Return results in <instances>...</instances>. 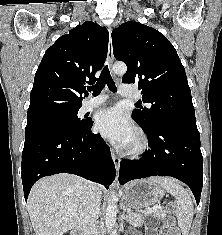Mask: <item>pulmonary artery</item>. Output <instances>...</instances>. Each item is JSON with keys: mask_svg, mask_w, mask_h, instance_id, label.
<instances>
[{"mask_svg": "<svg viewBox=\"0 0 222 235\" xmlns=\"http://www.w3.org/2000/svg\"><path fill=\"white\" fill-rule=\"evenodd\" d=\"M119 93L123 97L133 98V99H139V92L128 85H121ZM107 100L106 95H99L93 98L87 99L82 106V111H88L92 108H95L101 104H103Z\"/></svg>", "mask_w": 222, "mask_h": 235, "instance_id": "pulmonary-artery-1", "label": "pulmonary artery"}]
</instances>
